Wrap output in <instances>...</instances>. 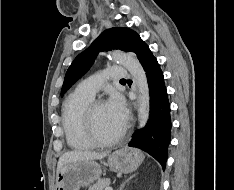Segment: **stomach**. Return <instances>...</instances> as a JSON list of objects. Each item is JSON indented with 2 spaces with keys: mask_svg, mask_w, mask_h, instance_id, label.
Masks as SVG:
<instances>
[{
  "mask_svg": "<svg viewBox=\"0 0 234 190\" xmlns=\"http://www.w3.org/2000/svg\"><path fill=\"white\" fill-rule=\"evenodd\" d=\"M141 152L128 147L120 148L108 157L110 169L118 173H131L142 163ZM102 171L93 160L70 162L63 165L56 176V190H79L99 180Z\"/></svg>",
  "mask_w": 234,
  "mask_h": 190,
  "instance_id": "1",
  "label": "stomach"
}]
</instances>
